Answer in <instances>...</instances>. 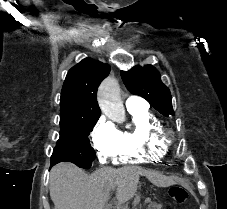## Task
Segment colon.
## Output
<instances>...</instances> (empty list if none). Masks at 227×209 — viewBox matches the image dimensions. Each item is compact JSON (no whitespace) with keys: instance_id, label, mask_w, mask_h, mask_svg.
<instances>
[{"instance_id":"1","label":"colon","mask_w":227,"mask_h":209,"mask_svg":"<svg viewBox=\"0 0 227 209\" xmlns=\"http://www.w3.org/2000/svg\"><path fill=\"white\" fill-rule=\"evenodd\" d=\"M170 197L172 205L183 204L187 201L189 194L185 188L175 185L170 189Z\"/></svg>"}]
</instances>
